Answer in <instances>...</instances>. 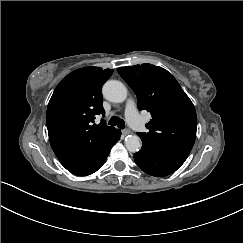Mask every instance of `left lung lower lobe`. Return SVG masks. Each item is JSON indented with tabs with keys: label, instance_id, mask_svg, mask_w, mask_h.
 Returning a JSON list of instances; mask_svg holds the SVG:
<instances>
[{
	"label": "left lung lower lobe",
	"instance_id": "0a47b994",
	"mask_svg": "<svg viewBox=\"0 0 243 243\" xmlns=\"http://www.w3.org/2000/svg\"><path fill=\"white\" fill-rule=\"evenodd\" d=\"M187 156L142 141V148L134 154V160L147 174L163 177L175 172Z\"/></svg>",
	"mask_w": 243,
	"mask_h": 243
}]
</instances>
